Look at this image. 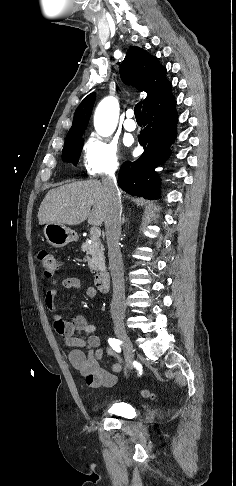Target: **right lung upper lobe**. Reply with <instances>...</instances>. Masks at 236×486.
<instances>
[{
	"mask_svg": "<svg viewBox=\"0 0 236 486\" xmlns=\"http://www.w3.org/2000/svg\"><path fill=\"white\" fill-rule=\"evenodd\" d=\"M120 75L125 83H131L140 91L147 93L143 108L171 93L172 85L166 78V69L159 64L156 57L142 48L130 47L121 64ZM94 100L95 93L89 94L78 106L72 127L66 136V143L74 142L83 135L91 116Z\"/></svg>",
	"mask_w": 236,
	"mask_h": 486,
	"instance_id": "1",
	"label": "right lung upper lobe"
}]
</instances>
